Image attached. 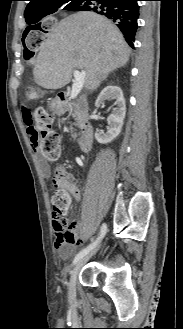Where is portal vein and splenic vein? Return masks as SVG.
Listing matches in <instances>:
<instances>
[{
	"instance_id": "1",
	"label": "portal vein and splenic vein",
	"mask_w": 183,
	"mask_h": 329,
	"mask_svg": "<svg viewBox=\"0 0 183 329\" xmlns=\"http://www.w3.org/2000/svg\"><path fill=\"white\" fill-rule=\"evenodd\" d=\"M85 75H86L85 70L81 72L78 70L73 71L74 82L70 93V99H75L79 94V92L81 91L84 84Z\"/></svg>"
}]
</instances>
